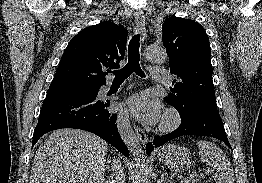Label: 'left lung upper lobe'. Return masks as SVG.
<instances>
[{"mask_svg": "<svg viewBox=\"0 0 262 183\" xmlns=\"http://www.w3.org/2000/svg\"><path fill=\"white\" fill-rule=\"evenodd\" d=\"M174 88L164 100L178 112L217 110L212 81L211 48L203 27L192 20L169 17L162 25Z\"/></svg>", "mask_w": 262, "mask_h": 183, "instance_id": "left-lung-upper-lobe-1", "label": "left lung upper lobe"}]
</instances>
